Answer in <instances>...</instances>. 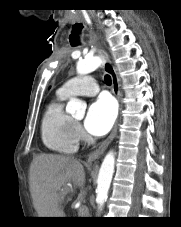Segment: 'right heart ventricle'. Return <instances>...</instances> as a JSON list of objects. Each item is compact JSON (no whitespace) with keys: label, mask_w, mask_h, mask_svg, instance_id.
<instances>
[{"label":"right heart ventricle","mask_w":181,"mask_h":227,"mask_svg":"<svg viewBox=\"0 0 181 227\" xmlns=\"http://www.w3.org/2000/svg\"><path fill=\"white\" fill-rule=\"evenodd\" d=\"M67 97L57 92L46 107L42 117L41 136L44 145L51 151L70 154L78 147L74 131V120L64 111Z\"/></svg>","instance_id":"right-heart-ventricle-1"}]
</instances>
